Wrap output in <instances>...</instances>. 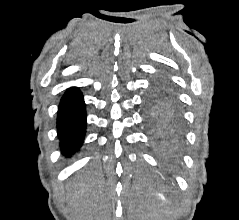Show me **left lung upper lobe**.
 Wrapping results in <instances>:
<instances>
[{"label":"left lung upper lobe","mask_w":239,"mask_h":220,"mask_svg":"<svg viewBox=\"0 0 239 220\" xmlns=\"http://www.w3.org/2000/svg\"><path fill=\"white\" fill-rule=\"evenodd\" d=\"M177 110V101L171 86L166 81H159L147 100L148 123L158 129Z\"/></svg>","instance_id":"obj_1"}]
</instances>
